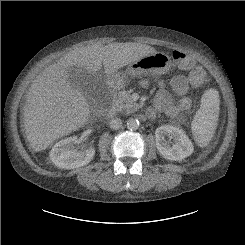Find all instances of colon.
Here are the masks:
<instances>
[{
    "instance_id": "1",
    "label": "colon",
    "mask_w": 245,
    "mask_h": 245,
    "mask_svg": "<svg viewBox=\"0 0 245 245\" xmlns=\"http://www.w3.org/2000/svg\"><path fill=\"white\" fill-rule=\"evenodd\" d=\"M172 57L178 68L188 71L189 81L192 86H202L208 82L205 70L199 64H196L189 54L175 50L172 52Z\"/></svg>"
}]
</instances>
